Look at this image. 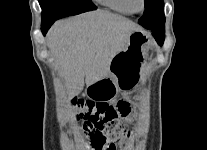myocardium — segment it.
<instances>
[{"label":"myocardium","instance_id":"f54148a6","mask_svg":"<svg viewBox=\"0 0 207 150\" xmlns=\"http://www.w3.org/2000/svg\"><path fill=\"white\" fill-rule=\"evenodd\" d=\"M140 1H141V7L137 8L134 5V0H127L128 5H129V7H130V9L132 10L133 13H142L145 10V8H146V0H140Z\"/></svg>","mask_w":207,"mask_h":150}]
</instances>
